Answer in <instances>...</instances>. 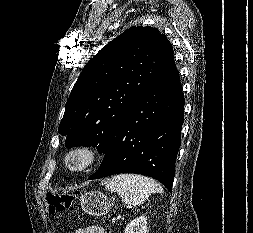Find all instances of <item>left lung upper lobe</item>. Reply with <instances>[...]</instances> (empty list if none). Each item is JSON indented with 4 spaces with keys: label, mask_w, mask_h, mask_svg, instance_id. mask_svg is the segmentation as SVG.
<instances>
[{
    "label": "left lung upper lobe",
    "mask_w": 253,
    "mask_h": 233,
    "mask_svg": "<svg viewBox=\"0 0 253 233\" xmlns=\"http://www.w3.org/2000/svg\"><path fill=\"white\" fill-rule=\"evenodd\" d=\"M174 58L172 44L152 27L133 26L83 68L58 132L66 147L106 152L134 105Z\"/></svg>",
    "instance_id": "left-lung-upper-lobe-1"
}]
</instances>
